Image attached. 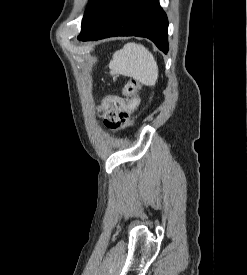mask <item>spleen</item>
<instances>
[{
    "label": "spleen",
    "instance_id": "3e777b00",
    "mask_svg": "<svg viewBox=\"0 0 247 275\" xmlns=\"http://www.w3.org/2000/svg\"><path fill=\"white\" fill-rule=\"evenodd\" d=\"M109 68L111 74L132 77L146 86H154L158 79V66L152 53L133 42L113 54Z\"/></svg>",
    "mask_w": 247,
    "mask_h": 275
}]
</instances>
